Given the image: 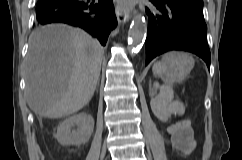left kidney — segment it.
Here are the masks:
<instances>
[{
    "mask_svg": "<svg viewBox=\"0 0 242 160\" xmlns=\"http://www.w3.org/2000/svg\"><path fill=\"white\" fill-rule=\"evenodd\" d=\"M177 107L176 113H184L183 104L176 102L175 103ZM151 108L154 113V115L161 121V122H167L168 118L171 115V112L168 110V107L166 104L159 102L157 99H153L151 101Z\"/></svg>",
    "mask_w": 242,
    "mask_h": 160,
    "instance_id": "5707ae66",
    "label": "left kidney"
}]
</instances>
